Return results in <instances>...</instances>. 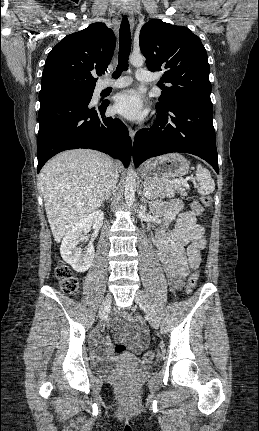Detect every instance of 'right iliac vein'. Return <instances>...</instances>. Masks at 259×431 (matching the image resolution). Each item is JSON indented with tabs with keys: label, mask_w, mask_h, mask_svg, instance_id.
<instances>
[{
	"label": "right iliac vein",
	"mask_w": 259,
	"mask_h": 431,
	"mask_svg": "<svg viewBox=\"0 0 259 431\" xmlns=\"http://www.w3.org/2000/svg\"><path fill=\"white\" fill-rule=\"evenodd\" d=\"M112 297L111 295H107L102 303V306L99 311V317H103L110 309Z\"/></svg>",
	"instance_id": "63e3f726"
}]
</instances>
